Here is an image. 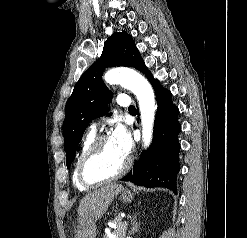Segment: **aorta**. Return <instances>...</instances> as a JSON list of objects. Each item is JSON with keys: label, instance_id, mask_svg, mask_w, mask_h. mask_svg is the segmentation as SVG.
Returning <instances> with one entry per match:
<instances>
[{"label": "aorta", "instance_id": "762f6f07", "mask_svg": "<svg viewBox=\"0 0 247 238\" xmlns=\"http://www.w3.org/2000/svg\"><path fill=\"white\" fill-rule=\"evenodd\" d=\"M104 80L108 84H120L136 95L142 123L143 146L149 147L156 111L154 92L149 82L138 72L125 68L108 71Z\"/></svg>", "mask_w": 247, "mask_h": 238}]
</instances>
